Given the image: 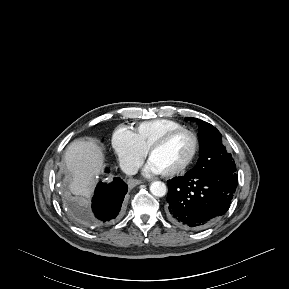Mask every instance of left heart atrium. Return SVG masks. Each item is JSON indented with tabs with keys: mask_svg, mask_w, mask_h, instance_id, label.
<instances>
[{
	"mask_svg": "<svg viewBox=\"0 0 289 289\" xmlns=\"http://www.w3.org/2000/svg\"><path fill=\"white\" fill-rule=\"evenodd\" d=\"M146 170L149 173H153V174H159L160 171L149 161L146 165Z\"/></svg>",
	"mask_w": 289,
	"mask_h": 289,
	"instance_id": "39dd6f15",
	"label": "left heart atrium"
}]
</instances>
